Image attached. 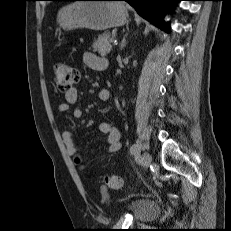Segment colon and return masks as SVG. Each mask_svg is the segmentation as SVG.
<instances>
[{"label":"colon","instance_id":"colon-1","mask_svg":"<svg viewBox=\"0 0 231 231\" xmlns=\"http://www.w3.org/2000/svg\"><path fill=\"white\" fill-rule=\"evenodd\" d=\"M54 78L56 86L60 91L70 90L79 81V71L64 62H59L54 66ZM103 193L107 189H119L123 185V178L119 175H107L102 178Z\"/></svg>","mask_w":231,"mask_h":231}]
</instances>
